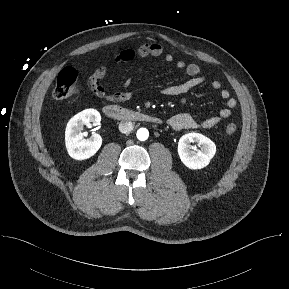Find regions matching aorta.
I'll return each mask as SVG.
<instances>
[{"mask_svg": "<svg viewBox=\"0 0 289 289\" xmlns=\"http://www.w3.org/2000/svg\"><path fill=\"white\" fill-rule=\"evenodd\" d=\"M149 137V132L146 128H140L138 129L137 131V138L140 140V141H145L147 140Z\"/></svg>", "mask_w": 289, "mask_h": 289, "instance_id": "1", "label": "aorta"}]
</instances>
